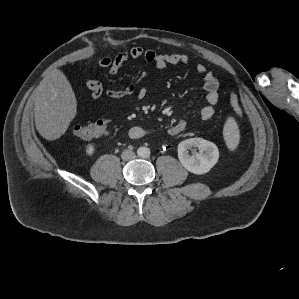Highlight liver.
I'll return each mask as SVG.
<instances>
[{"instance_id":"1","label":"liver","mask_w":299,"mask_h":299,"mask_svg":"<svg viewBox=\"0 0 299 299\" xmlns=\"http://www.w3.org/2000/svg\"><path fill=\"white\" fill-rule=\"evenodd\" d=\"M76 112V97L65 74L59 69L50 71L35 91L34 118L39 134L49 141L60 138Z\"/></svg>"}]
</instances>
